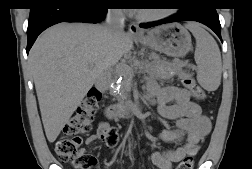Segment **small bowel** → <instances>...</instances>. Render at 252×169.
I'll list each match as a JSON object with an SVG mask.
<instances>
[{"mask_svg": "<svg viewBox=\"0 0 252 169\" xmlns=\"http://www.w3.org/2000/svg\"><path fill=\"white\" fill-rule=\"evenodd\" d=\"M147 98L157 102L158 111L164 119L176 121L175 129H164L156 139L174 142L178 146L173 150L156 151L151 155L152 162L159 169H172L176 162L197 153L199 142L211 132V121L202 115L199 105L191 100L190 93L186 89L173 86L160 87L152 80L147 85ZM109 129L106 122L99 123L96 133L87 137L86 145L91 146L101 141L110 148L107 143ZM185 136H187L186 142L182 144Z\"/></svg>", "mask_w": 252, "mask_h": 169, "instance_id": "small-bowel-1", "label": "small bowel"}]
</instances>
